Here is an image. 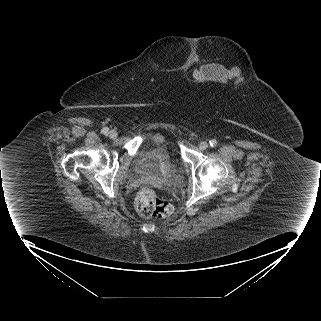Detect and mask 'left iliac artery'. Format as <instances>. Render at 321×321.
<instances>
[{
  "instance_id": "obj_1",
  "label": "left iliac artery",
  "mask_w": 321,
  "mask_h": 321,
  "mask_svg": "<svg viewBox=\"0 0 321 321\" xmlns=\"http://www.w3.org/2000/svg\"><path fill=\"white\" fill-rule=\"evenodd\" d=\"M209 144L211 147H215L217 145V141L215 139H212L209 141Z\"/></svg>"
}]
</instances>
